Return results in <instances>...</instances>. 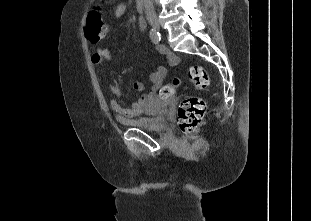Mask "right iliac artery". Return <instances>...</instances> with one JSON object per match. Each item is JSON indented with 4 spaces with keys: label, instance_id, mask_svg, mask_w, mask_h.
<instances>
[{
    "label": "right iliac artery",
    "instance_id": "obj_1",
    "mask_svg": "<svg viewBox=\"0 0 311 221\" xmlns=\"http://www.w3.org/2000/svg\"><path fill=\"white\" fill-rule=\"evenodd\" d=\"M150 38L153 43L158 44L161 40L160 33L156 31L155 29L150 30Z\"/></svg>",
    "mask_w": 311,
    "mask_h": 221
}]
</instances>
